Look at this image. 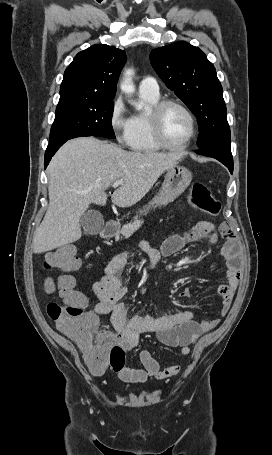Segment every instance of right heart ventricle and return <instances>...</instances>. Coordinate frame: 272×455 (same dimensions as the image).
I'll use <instances>...</instances> for the list:
<instances>
[{"instance_id": "obj_1", "label": "right heart ventricle", "mask_w": 272, "mask_h": 455, "mask_svg": "<svg viewBox=\"0 0 272 455\" xmlns=\"http://www.w3.org/2000/svg\"><path fill=\"white\" fill-rule=\"evenodd\" d=\"M140 96L142 100L149 105L150 108H152L159 101V94L150 95L140 93ZM150 110L134 114L130 118V134L128 146L131 150L135 152L153 153L159 151L161 148L154 141L151 133L149 123Z\"/></svg>"}]
</instances>
